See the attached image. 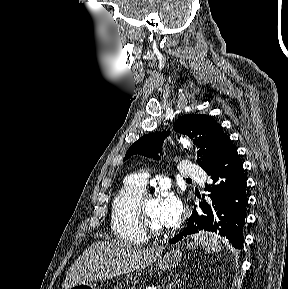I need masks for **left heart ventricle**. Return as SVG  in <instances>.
Segmentation results:
<instances>
[{
  "label": "left heart ventricle",
  "mask_w": 288,
  "mask_h": 289,
  "mask_svg": "<svg viewBox=\"0 0 288 289\" xmlns=\"http://www.w3.org/2000/svg\"><path fill=\"white\" fill-rule=\"evenodd\" d=\"M145 216L156 228L165 230L166 224L161 220L159 199H149L145 203Z\"/></svg>",
  "instance_id": "left-heart-ventricle-1"
}]
</instances>
